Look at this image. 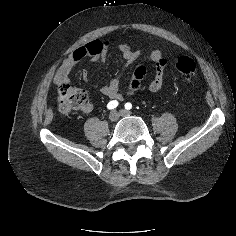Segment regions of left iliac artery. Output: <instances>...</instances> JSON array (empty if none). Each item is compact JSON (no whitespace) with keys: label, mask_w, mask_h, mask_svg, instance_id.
Wrapping results in <instances>:
<instances>
[{"label":"left iliac artery","mask_w":236,"mask_h":236,"mask_svg":"<svg viewBox=\"0 0 236 236\" xmlns=\"http://www.w3.org/2000/svg\"><path fill=\"white\" fill-rule=\"evenodd\" d=\"M131 108H132V104L129 103V102H127V103L125 104V109L130 110Z\"/></svg>","instance_id":"44dca946"}]
</instances>
